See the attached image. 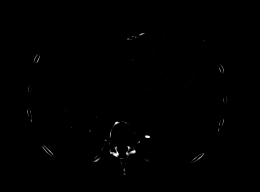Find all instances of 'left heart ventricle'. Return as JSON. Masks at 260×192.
Here are the masks:
<instances>
[{
    "mask_svg": "<svg viewBox=\"0 0 260 192\" xmlns=\"http://www.w3.org/2000/svg\"><path fill=\"white\" fill-rule=\"evenodd\" d=\"M198 79V69L193 66H185L171 80L159 82L154 85V92L166 97L190 90Z\"/></svg>",
    "mask_w": 260,
    "mask_h": 192,
    "instance_id": "left-heart-ventricle-1",
    "label": "left heart ventricle"
}]
</instances>
